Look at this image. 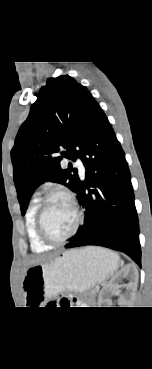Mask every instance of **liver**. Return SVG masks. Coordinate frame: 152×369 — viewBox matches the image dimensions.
<instances>
[{
  "label": "liver",
  "mask_w": 152,
  "mask_h": 369,
  "mask_svg": "<svg viewBox=\"0 0 152 369\" xmlns=\"http://www.w3.org/2000/svg\"><path fill=\"white\" fill-rule=\"evenodd\" d=\"M45 260V258H43V257H35V258H33L31 261H30V263L31 264H40L42 261H44Z\"/></svg>",
  "instance_id": "obj_1"
}]
</instances>
